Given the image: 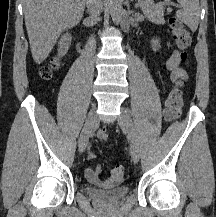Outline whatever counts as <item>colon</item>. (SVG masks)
<instances>
[{
	"instance_id": "1",
	"label": "colon",
	"mask_w": 216,
	"mask_h": 217,
	"mask_svg": "<svg viewBox=\"0 0 216 217\" xmlns=\"http://www.w3.org/2000/svg\"><path fill=\"white\" fill-rule=\"evenodd\" d=\"M168 22L172 30L174 42L181 52V59L185 60L187 58V49L191 43L189 30L186 25L173 16L169 18ZM58 64L59 61L56 59L50 65L44 66L40 71L41 77L43 79H49ZM183 103L184 96L182 91V82L178 81L168 94L164 113L165 119L168 121H175L180 115ZM97 136L101 141L106 142L109 139L108 129L106 127H101L98 130ZM124 176V168L121 165L115 166L111 171V177L116 183L122 182Z\"/></svg>"
}]
</instances>
